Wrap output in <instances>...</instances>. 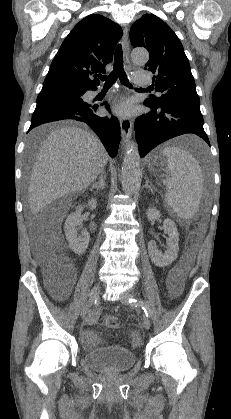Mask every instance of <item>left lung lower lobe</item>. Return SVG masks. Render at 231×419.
<instances>
[{
	"label": "left lung lower lobe",
	"mask_w": 231,
	"mask_h": 419,
	"mask_svg": "<svg viewBox=\"0 0 231 419\" xmlns=\"http://www.w3.org/2000/svg\"><path fill=\"white\" fill-rule=\"evenodd\" d=\"M199 103L169 101L154 105L146 99L144 104L151 111L141 115L135 121L140 156L144 157L158 144L183 134H195L210 145L203 128Z\"/></svg>",
	"instance_id": "obj_1"
}]
</instances>
